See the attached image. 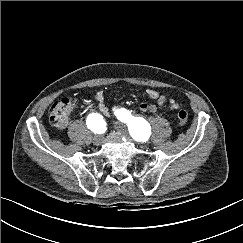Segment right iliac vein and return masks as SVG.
I'll use <instances>...</instances> for the list:
<instances>
[{
  "label": "right iliac vein",
  "mask_w": 243,
  "mask_h": 243,
  "mask_svg": "<svg viewBox=\"0 0 243 243\" xmlns=\"http://www.w3.org/2000/svg\"><path fill=\"white\" fill-rule=\"evenodd\" d=\"M102 141V136L101 135H94L93 137V143L95 145H99Z\"/></svg>",
  "instance_id": "1"
}]
</instances>
